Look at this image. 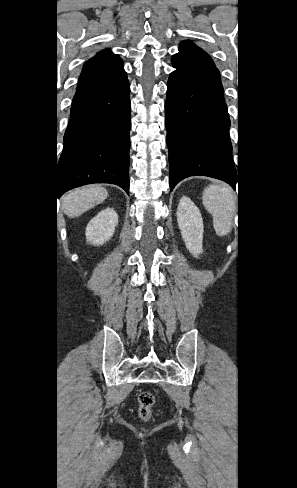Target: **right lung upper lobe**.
Listing matches in <instances>:
<instances>
[{
  "label": "right lung upper lobe",
  "mask_w": 297,
  "mask_h": 488,
  "mask_svg": "<svg viewBox=\"0 0 297 488\" xmlns=\"http://www.w3.org/2000/svg\"><path fill=\"white\" fill-rule=\"evenodd\" d=\"M125 74L117 54L109 49L98 52L84 64L72 105L93 97Z\"/></svg>",
  "instance_id": "right-lung-upper-lobe-1"
}]
</instances>
